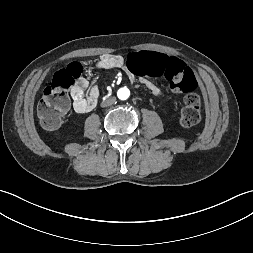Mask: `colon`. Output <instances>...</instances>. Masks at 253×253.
I'll return each instance as SVG.
<instances>
[{
    "label": "colon",
    "instance_id": "1",
    "mask_svg": "<svg viewBox=\"0 0 253 253\" xmlns=\"http://www.w3.org/2000/svg\"><path fill=\"white\" fill-rule=\"evenodd\" d=\"M127 66L137 75L167 79L173 89L185 93L178 116L182 126L191 127L200 121L201 100L194 92L197 81L184 61L158 52L133 51L127 57ZM82 73L81 64L71 63L54 74L37 105V115L45 128L55 129L60 125L70 106L69 90Z\"/></svg>",
    "mask_w": 253,
    "mask_h": 253
}]
</instances>
